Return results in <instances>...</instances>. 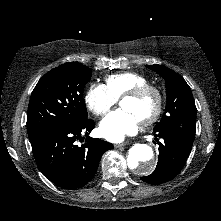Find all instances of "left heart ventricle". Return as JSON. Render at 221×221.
<instances>
[{
  "label": "left heart ventricle",
  "instance_id": "b2bd125f",
  "mask_svg": "<svg viewBox=\"0 0 221 221\" xmlns=\"http://www.w3.org/2000/svg\"><path fill=\"white\" fill-rule=\"evenodd\" d=\"M120 105L122 108L132 112L141 121L154 111L156 98L153 94L140 99L126 98L121 101Z\"/></svg>",
  "mask_w": 221,
  "mask_h": 221
}]
</instances>
